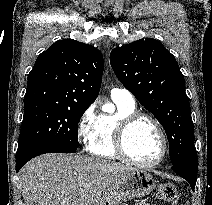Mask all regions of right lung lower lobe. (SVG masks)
<instances>
[{"label": "right lung lower lobe", "mask_w": 212, "mask_h": 205, "mask_svg": "<svg viewBox=\"0 0 212 205\" xmlns=\"http://www.w3.org/2000/svg\"><path fill=\"white\" fill-rule=\"evenodd\" d=\"M77 149L54 144H41L16 154V172L32 158L45 153H74Z\"/></svg>", "instance_id": "obj_1"}]
</instances>
